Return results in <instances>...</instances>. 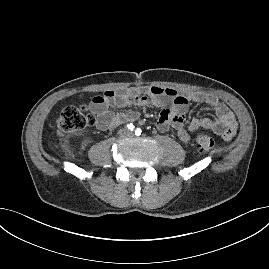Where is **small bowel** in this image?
Returning <instances> with one entry per match:
<instances>
[{"instance_id": "c3829d8e", "label": "small bowel", "mask_w": 269, "mask_h": 269, "mask_svg": "<svg viewBox=\"0 0 269 269\" xmlns=\"http://www.w3.org/2000/svg\"><path fill=\"white\" fill-rule=\"evenodd\" d=\"M191 102L207 107L213 113V117L193 118L186 128V113ZM148 105L156 107L170 105L161 111L157 128L160 132L174 128L178 138L184 143L190 141L188 131L194 132L199 129L211 130L225 141H230L236 134L237 122L229 108L217 97L199 92L180 94L174 89L157 86L106 90L102 95L94 97L89 107L98 118L97 127L100 130H111L138 117L137 111L116 113L110 110L112 107L142 108Z\"/></svg>"}]
</instances>
